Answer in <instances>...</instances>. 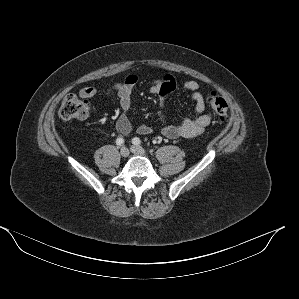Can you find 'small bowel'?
I'll list each match as a JSON object with an SVG mask.
<instances>
[{"instance_id":"c3829d8e","label":"small bowel","mask_w":299,"mask_h":299,"mask_svg":"<svg viewBox=\"0 0 299 299\" xmlns=\"http://www.w3.org/2000/svg\"><path fill=\"white\" fill-rule=\"evenodd\" d=\"M137 83L138 77L134 74H129L123 80L114 82L109 86V90L116 92L119 97L122 113L116 121V128L122 136H129L134 129L129 119V113L132 107V90ZM182 86L185 90L191 92L190 99L194 106L195 114L193 116H184L177 124H166L162 127V135L171 139L195 137L201 134L212 120V114L206 111L200 84L194 80H187ZM176 87V79L172 75L167 74L152 81L150 92L161 97L162 107L166 109V99ZM79 94L83 99H90L97 94V89L93 86H86L80 90ZM136 130L142 135L150 134L152 131L146 124L139 125Z\"/></svg>"}]
</instances>
